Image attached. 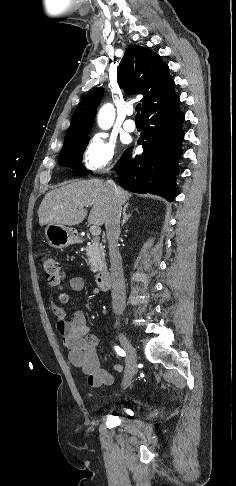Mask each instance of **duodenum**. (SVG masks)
<instances>
[{
  "label": "duodenum",
  "instance_id": "obj_1",
  "mask_svg": "<svg viewBox=\"0 0 236 486\" xmlns=\"http://www.w3.org/2000/svg\"><path fill=\"white\" fill-rule=\"evenodd\" d=\"M96 284L99 289L105 291L110 285V273L107 269H101L96 275Z\"/></svg>",
  "mask_w": 236,
  "mask_h": 486
}]
</instances>
